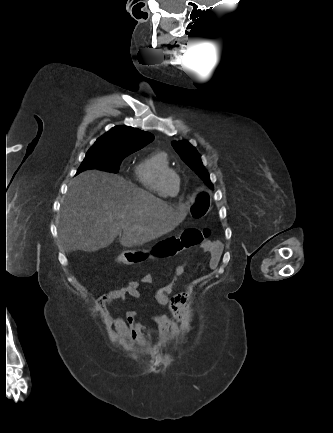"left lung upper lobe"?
<instances>
[{
    "label": "left lung upper lobe",
    "mask_w": 333,
    "mask_h": 433,
    "mask_svg": "<svg viewBox=\"0 0 333 433\" xmlns=\"http://www.w3.org/2000/svg\"><path fill=\"white\" fill-rule=\"evenodd\" d=\"M172 146L174 147L175 151L180 155L181 159L192 170H194L209 187L213 188L210 183L209 174L204 169L201 157L197 150L189 142L186 141L173 142Z\"/></svg>",
    "instance_id": "obj_1"
}]
</instances>
